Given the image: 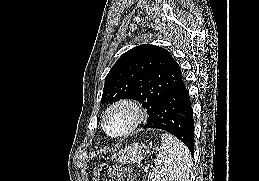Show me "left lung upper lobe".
<instances>
[{"mask_svg": "<svg viewBox=\"0 0 259 181\" xmlns=\"http://www.w3.org/2000/svg\"><path fill=\"white\" fill-rule=\"evenodd\" d=\"M181 76L178 63L166 49L136 46L121 55L107 74L101 103L135 99L147 109L149 123Z\"/></svg>", "mask_w": 259, "mask_h": 181, "instance_id": "1", "label": "left lung upper lobe"}]
</instances>
